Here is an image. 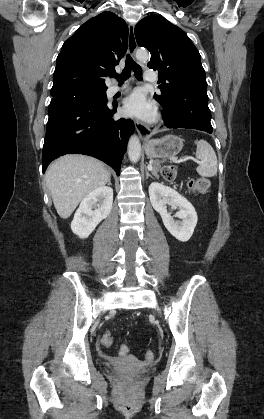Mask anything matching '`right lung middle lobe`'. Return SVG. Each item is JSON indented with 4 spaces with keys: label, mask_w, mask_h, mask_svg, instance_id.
Wrapping results in <instances>:
<instances>
[{
    "label": "right lung middle lobe",
    "mask_w": 264,
    "mask_h": 419,
    "mask_svg": "<svg viewBox=\"0 0 264 419\" xmlns=\"http://www.w3.org/2000/svg\"><path fill=\"white\" fill-rule=\"evenodd\" d=\"M78 99L107 102L106 90L81 89L66 91L56 96H53L51 103L55 101H69Z\"/></svg>",
    "instance_id": "right-lung-middle-lobe-1"
}]
</instances>
